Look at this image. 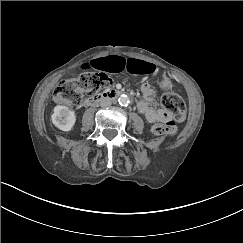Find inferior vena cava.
Returning a JSON list of instances; mask_svg holds the SVG:
<instances>
[{"instance_id":"obj_1","label":"inferior vena cava","mask_w":243,"mask_h":243,"mask_svg":"<svg viewBox=\"0 0 243 243\" xmlns=\"http://www.w3.org/2000/svg\"><path fill=\"white\" fill-rule=\"evenodd\" d=\"M112 102L109 98H103L101 101H100V106L102 108H107L109 106H111Z\"/></svg>"}]
</instances>
